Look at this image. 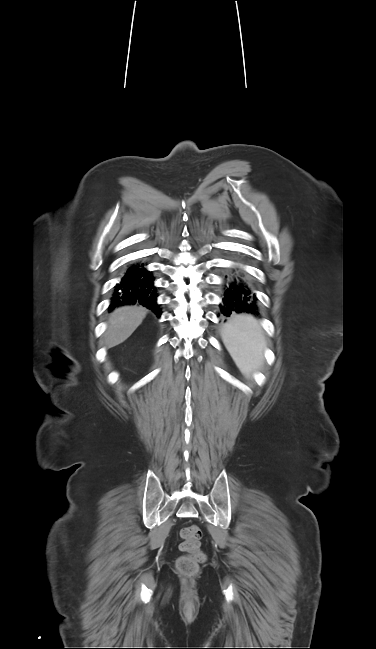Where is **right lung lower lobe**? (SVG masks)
<instances>
[{"instance_id": "1", "label": "right lung lower lobe", "mask_w": 376, "mask_h": 649, "mask_svg": "<svg viewBox=\"0 0 376 649\" xmlns=\"http://www.w3.org/2000/svg\"><path fill=\"white\" fill-rule=\"evenodd\" d=\"M151 273L144 264L128 268L120 283L116 284L109 310L117 306L141 304L152 310L158 317L161 309L156 303V287Z\"/></svg>"}]
</instances>
